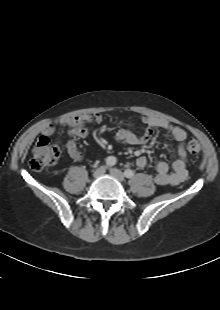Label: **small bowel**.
Wrapping results in <instances>:
<instances>
[{"label": "small bowel", "instance_id": "obj_1", "mask_svg": "<svg viewBox=\"0 0 220 310\" xmlns=\"http://www.w3.org/2000/svg\"><path fill=\"white\" fill-rule=\"evenodd\" d=\"M103 117L100 113L94 114H79L69 118L61 119L58 124L68 128V133L71 137L66 142V150L69 157L74 161H80L82 154L76 143V138H84L88 135V125L90 123H101ZM142 122L144 130L142 134H136L130 128H121L116 134L115 138L118 142L129 145H144L147 144L153 136L154 128H162L167 130L172 138L177 142V158L172 162L171 166L164 161H159L155 164L156 174L154 182L160 186L172 185L177 186L182 184L188 177L186 168L187 152L185 149V141L187 139L186 131L168 120L155 117L143 116ZM55 131V124L46 125L42 134L45 137H50ZM147 159L140 156L136 160V165L140 169L147 166Z\"/></svg>", "mask_w": 220, "mask_h": 310}]
</instances>
